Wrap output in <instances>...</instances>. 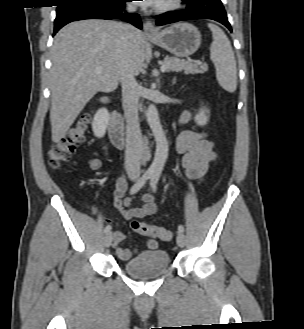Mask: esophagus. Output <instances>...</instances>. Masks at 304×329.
<instances>
[{
    "instance_id": "obj_1",
    "label": "esophagus",
    "mask_w": 304,
    "mask_h": 329,
    "mask_svg": "<svg viewBox=\"0 0 304 329\" xmlns=\"http://www.w3.org/2000/svg\"><path fill=\"white\" fill-rule=\"evenodd\" d=\"M143 30H144V34L146 36H155L158 33V31L155 28V26L153 25V23L149 20L145 21V23L143 25Z\"/></svg>"
}]
</instances>
